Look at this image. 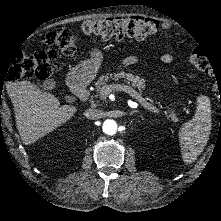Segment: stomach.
Here are the masks:
<instances>
[{"instance_id":"obj_1","label":"stomach","mask_w":221,"mask_h":221,"mask_svg":"<svg viewBox=\"0 0 221 221\" xmlns=\"http://www.w3.org/2000/svg\"><path fill=\"white\" fill-rule=\"evenodd\" d=\"M101 60V55L97 51L92 52V59L88 61V65L91 67V74L95 75L97 72V66Z\"/></svg>"}]
</instances>
